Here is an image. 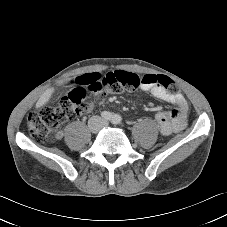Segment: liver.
<instances>
[{
	"instance_id": "6515ba94",
	"label": "liver",
	"mask_w": 227,
	"mask_h": 227,
	"mask_svg": "<svg viewBox=\"0 0 227 227\" xmlns=\"http://www.w3.org/2000/svg\"><path fill=\"white\" fill-rule=\"evenodd\" d=\"M69 80H70V78H66V79L58 81L57 84L62 85ZM54 90H55L54 88H48L38 99V101L36 103V108H40L43 105H45L47 102H49L52 94L54 93Z\"/></svg>"
}]
</instances>
